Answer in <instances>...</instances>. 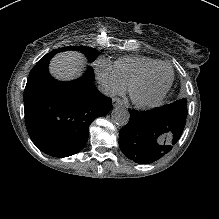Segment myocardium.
Returning <instances> with one entry per match:
<instances>
[{
  "mask_svg": "<svg viewBox=\"0 0 219 219\" xmlns=\"http://www.w3.org/2000/svg\"><path fill=\"white\" fill-rule=\"evenodd\" d=\"M165 66L168 67L171 71V79L167 86V88L154 100L151 101H140L134 97L135 89L158 67ZM175 79L174 71L171 67V65L165 63V62H158L156 65H153L149 67L147 70H145L143 73H141L129 86L128 89V97L130 102L139 109H149L153 108L157 105H159L163 100L166 98L167 94L169 93L173 82Z\"/></svg>",
  "mask_w": 219,
  "mask_h": 219,
  "instance_id": "myocardium-1",
  "label": "myocardium"
}]
</instances>
